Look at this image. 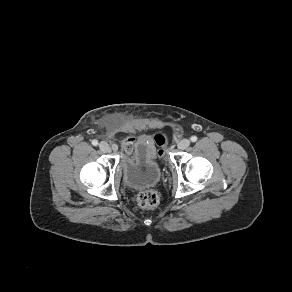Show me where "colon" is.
Masks as SVG:
<instances>
[{"label": "colon", "instance_id": "colon-1", "mask_svg": "<svg viewBox=\"0 0 292 292\" xmlns=\"http://www.w3.org/2000/svg\"><path fill=\"white\" fill-rule=\"evenodd\" d=\"M156 141L159 146L166 144V137L164 135H157ZM138 203L141 207L146 209L154 208L159 202V195L155 190L148 189L139 192L137 197Z\"/></svg>", "mask_w": 292, "mask_h": 292}]
</instances>
